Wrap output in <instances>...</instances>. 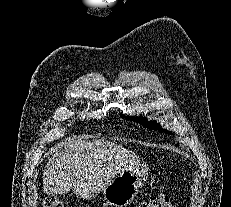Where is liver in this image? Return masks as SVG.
<instances>
[{"label":"liver","instance_id":"6515ba94","mask_svg":"<svg viewBox=\"0 0 231 207\" xmlns=\"http://www.w3.org/2000/svg\"><path fill=\"white\" fill-rule=\"evenodd\" d=\"M139 157L122 146L81 137L57 145L43 173L46 194L73 192L83 199L99 193L117 174L139 165Z\"/></svg>","mask_w":231,"mask_h":207}]
</instances>
